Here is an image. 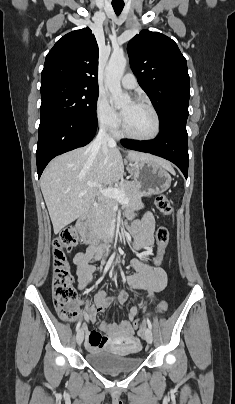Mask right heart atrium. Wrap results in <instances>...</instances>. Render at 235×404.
Returning <instances> with one entry per match:
<instances>
[{
	"instance_id": "obj_1",
	"label": "right heart atrium",
	"mask_w": 235,
	"mask_h": 404,
	"mask_svg": "<svg viewBox=\"0 0 235 404\" xmlns=\"http://www.w3.org/2000/svg\"><path fill=\"white\" fill-rule=\"evenodd\" d=\"M95 115L99 126L105 131L115 132L118 129L120 125L119 115L103 94H99L96 99Z\"/></svg>"
}]
</instances>
